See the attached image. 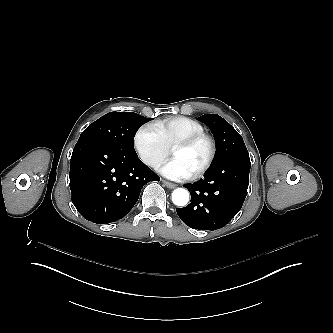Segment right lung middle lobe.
I'll return each mask as SVG.
<instances>
[{"label":"right lung middle lobe","instance_id":"dd1d6c3e","mask_svg":"<svg viewBox=\"0 0 333 333\" xmlns=\"http://www.w3.org/2000/svg\"><path fill=\"white\" fill-rule=\"evenodd\" d=\"M152 119L132 112H111L92 124L80 135V139L90 137L102 140L119 149L120 152L137 155L133 140L141 125Z\"/></svg>","mask_w":333,"mask_h":333}]
</instances>
